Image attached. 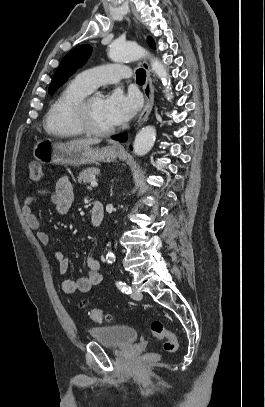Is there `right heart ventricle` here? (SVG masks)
I'll use <instances>...</instances> for the list:
<instances>
[{
  "label": "right heart ventricle",
  "mask_w": 265,
  "mask_h": 407,
  "mask_svg": "<svg viewBox=\"0 0 265 407\" xmlns=\"http://www.w3.org/2000/svg\"><path fill=\"white\" fill-rule=\"evenodd\" d=\"M91 92L76 78L68 82L51 103L44 120L45 131L56 138H78L84 134L75 126L73 105Z\"/></svg>",
  "instance_id": "right-heart-ventricle-1"
}]
</instances>
